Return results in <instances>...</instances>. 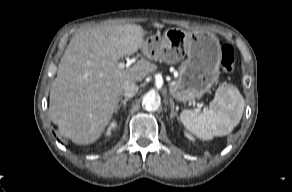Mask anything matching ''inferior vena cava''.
<instances>
[{"label": "inferior vena cava", "instance_id": "602c4592", "mask_svg": "<svg viewBox=\"0 0 292 192\" xmlns=\"http://www.w3.org/2000/svg\"><path fill=\"white\" fill-rule=\"evenodd\" d=\"M138 89L139 87L135 83H126L124 85V96L126 98H131L137 94Z\"/></svg>", "mask_w": 292, "mask_h": 192}]
</instances>
